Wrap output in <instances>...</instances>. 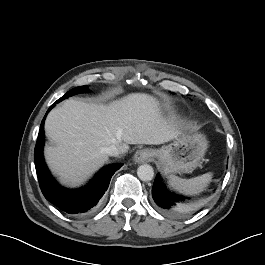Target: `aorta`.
Returning a JSON list of instances; mask_svg holds the SVG:
<instances>
[{
    "instance_id": "762f6f07",
    "label": "aorta",
    "mask_w": 265,
    "mask_h": 265,
    "mask_svg": "<svg viewBox=\"0 0 265 265\" xmlns=\"http://www.w3.org/2000/svg\"><path fill=\"white\" fill-rule=\"evenodd\" d=\"M137 175L142 181H151L154 177V170L149 164H143L138 167Z\"/></svg>"
}]
</instances>
